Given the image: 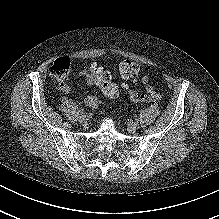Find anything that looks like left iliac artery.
I'll list each match as a JSON object with an SVG mask.
<instances>
[{"label":"left iliac artery","mask_w":219,"mask_h":219,"mask_svg":"<svg viewBox=\"0 0 219 219\" xmlns=\"http://www.w3.org/2000/svg\"><path fill=\"white\" fill-rule=\"evenodd\" d=\"M135 120H136V121H138V120H139V118H138L137 116H135Z\"/></svg>","instance_id":"1"}]
</instances>
